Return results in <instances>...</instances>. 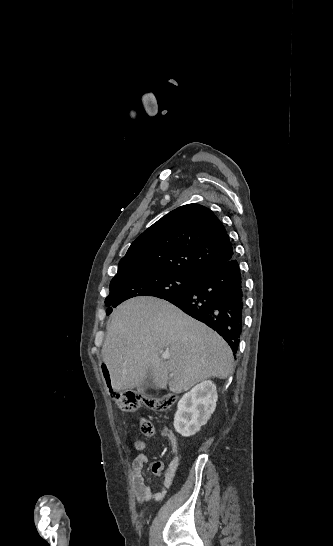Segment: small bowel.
<instances>
[{"label":"small bowel","instance_id":"obj_1","mask_svg":"<svg viewBox=\"0 0 333 546\" xmlns=\"http://www.w3.org/2000/svg\"><path fill=\"white\" fill-rule=\"evenodd\" d=\"M161 434L167 438L172 447V459L167 468L160 461H156L153 464V472L156 474H161L164 477V480L170 482L176 473L179 462L180 454L178 451L177 439L174 433L167 427L162 428ZM133 446L136 450L141 451L132 461V481H133V491L135 499L138 505H141L149 501H160L165 496V490H161L158 493H152L150 487L145 483L143 469L144 466L149 461V456L143 451L146 448V444L141 439H136L133 443Z\"/></svg>","mask_w":333,"mask_h":546}]
</instances>
